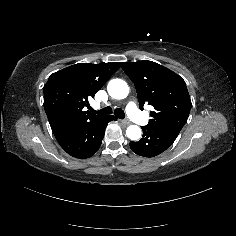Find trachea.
Here are the masks:
<instances>
[{
    "mask_svg": "<svg viewBox=\"0 0 236 236\" xmlns=\"http://www.w3.org/2000/svg\"><path fill=\"white\" fill-rule=\"evenodd\" d=\"M95 113H97L99 115H109V114H112L113 111L110 106H107L99 111H95ZM114 115L119 119H123L125 117V113L121 108H116L114 110Z\"/></svg>",
    "mask_w": 236,
    "mask_h": 236,
    "instance_id": "obj_1",
    "label": "trachea"
}]
</instances>
